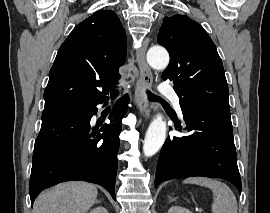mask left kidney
Instances as JSON below:
<instances>
[{"label": "left kidney", "instance_id": "left-kidney-1", "mask_svg": "<svg viewBox=\"0 0 270 213\" xmlns=\"http://www.w3.org/2000/svg\"><path fill=\"white\" fill-rule=\"evenodd\" d=\"M168 213H192V212L181 206H172L171 208H169Z\"/></svg>", "mask_w": 270, "mask_h": 213}]
</instances>
